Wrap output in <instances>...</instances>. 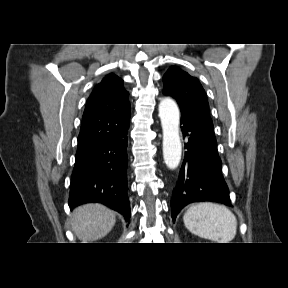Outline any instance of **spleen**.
<instances>
[{
    "mask_svg": "<svg viewBox=\"0 0 288 288\" xmlns=\"http://www.w3.org/2000/svg\"><path fill=\"white\" fill-rule=\"evenodd\" d=\"M183 221L194 235L217 243H229L236 235V217L224 205L210 202L192 205Z\"/></svg>",
    "mask_w": 288,
    "mask_h": 288,
    "instance_id": "spleen-1",
    "label": "spleen"
}]
</instances>
